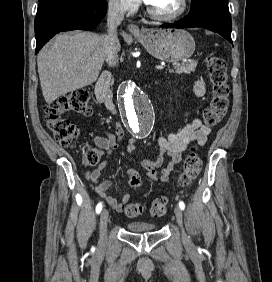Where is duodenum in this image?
<instances>
[{
    "label": "duodenum",
    "mask_w": 272,
    "mask_h": 282,
    "mask_svg": "<svg viewBox=\"0 0 272 282\" xmlns=\"http://www.w3.org/2000/svg\"><path fill=\"white\" fill-rule=\"evenodd\" d=\"M111 80L112 74L109 71H104L96 83L95 94L97 101L104 104L114 114L116 113V106L109 88Z\"/></svg>",
    "instance_id": "1"
}]
</instances>
